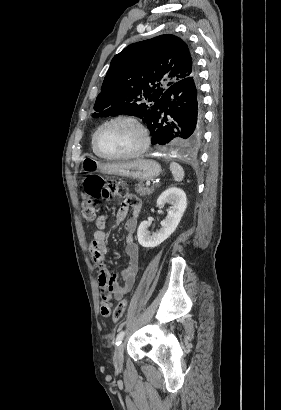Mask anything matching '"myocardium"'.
Wrapping results in <instances>:
<instances>
[{"instance_id": "1", "label": "myocardium", "mask_w": 281, "mask_h": 410, "mask_svg": "<svg viewBox=\"0 0 281 410\" xmlns=\"http://www.w3.org/2000/svg\"><path fill=\"white\" fill-rule=\"evenodd\" d=\"M119 121H126L129 122L131 124H133L134 126H136L138 128V130L141 133L142 136V143L140 145V147L138 149H136L133 152L127 153V154H123V155H109L104 153L98 144V136L99 133L101 132V130L110 125L113 124L115 122H119ZM92 142H93V148L95 150V152L102 158L107 159V160H125V159H131V158H135L138 157L142 154H144L151 143V138H150V134L148 129L146 128V126L136 117L131 116V115H127V114H120L117 116H114L106 121H104L101 125H99L97 127V129L95 130V132L93 133V137H92Z\"/></svg>"}]
</instances>
